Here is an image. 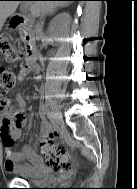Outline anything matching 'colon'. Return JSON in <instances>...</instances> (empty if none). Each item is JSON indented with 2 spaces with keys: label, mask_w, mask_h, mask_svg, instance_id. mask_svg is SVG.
I'll use <instances>...</instances> for the list:
<instances>
[{
  "label": "colon",
  "mask_w": 137,
  "mask_h": 189,
  "mask_svg": "<svg viewBox=\"0 0 137 189\" xmlns=\"http://www.w3.org/2000/svg\"><path fill=\"white\" fill-rule=\"evenodd\" d=\"M0 52L7 61L17 62L22 58V52L9 41L0 39ZM16 75L6 69L0 68V99L6 97L15 87ZM20 120L18 121V125ZM41 152L46 163L54 170H68L70 168L69 153L66 147L57 145L52 137L41 143Z\"/></svg>",
  "instance_id": "1"
}]
</instances>
